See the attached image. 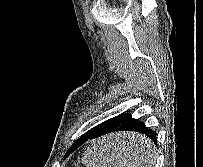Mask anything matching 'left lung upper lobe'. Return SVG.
<instances>
[{"label":"left lung upper lobe","mask_w":203,"mask_h":167,"mask_svg":"<svg viewBox=\"0 0 203 167\" xmlns=\"http://www.w3.org/2000/svg\"><path fill=\"white\" fill-rule=\"evenodd\" d=\"M96 128H97V126L94 127V128H92V129H90V130H89L88 132H86L82 137H84V136H86V135H90ZM71 148H72V146H71ZM71 148H70V149H71ZM70 149H69V150H70ZM69 150H68V151H69Z\"/></svg>","instance_id":"1"}]
</instances>
